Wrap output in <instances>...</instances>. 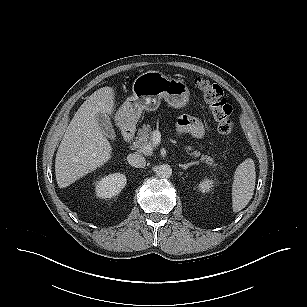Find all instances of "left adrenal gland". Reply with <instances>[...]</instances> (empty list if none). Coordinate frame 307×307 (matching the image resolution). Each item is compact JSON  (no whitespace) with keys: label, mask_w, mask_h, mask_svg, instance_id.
Returning <instances> with one entry per match:
<instances>
[{"label":"left adrenal gland","mask_w":307,"mask_h":307,"mask_svg":"<svg viewBox=\"0 0 307 307\" xmlns=\"http://www.w3.org/2000/svg\"><path fill=\"white\" fill-rule=\"evenodd\" d=\"M197 162H190V163H187V164H179V166L182 168V169H184V170H186V169H188L190 166H192V165H194V164H196Z\"/></svg>","instance_id":"left-adrenal-gland-1"}]
</instances>
